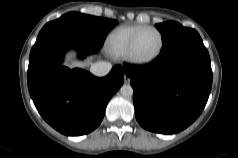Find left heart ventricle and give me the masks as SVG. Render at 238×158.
Segmentation results:
<instances>
[{
    "mask_svg": "<svg viewBox=\"0 0 238 158\" xmlns=\"http://www.w3.org/2000/svg\"><path fill=\"white\" fill-rule=\"evenodd\" d=\"M159 46V36L153 30L144 31L135 47V54L140 58H147L152 56L158 49Z\"/></svg>",
    "mask_w": 238,
    "mask_h": 158,
    "instance_id": "b2bd125f",
    "label": "left heart ventricle"
}]
</instances>
